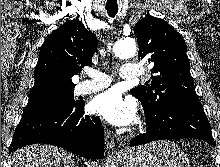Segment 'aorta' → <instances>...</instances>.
Masks as SVG:
<instances>
[{
    "mask_svg": "<svg viewBox=\"0 0 220 167\" xmlns=\"http://www.w3.org/2000/svg\"><path fill=\"white\" fill-rule=\"evenodd\" d=\"M113 52L120 59H127L134 56L136 53L135 41L130 38L119 40L114 44Z\"/></svg>",
    "mask_w": 220,
    "mask_h": 167,
    "instance_id": "obj_1",
    "label": "aorta"
}]
</instances>
